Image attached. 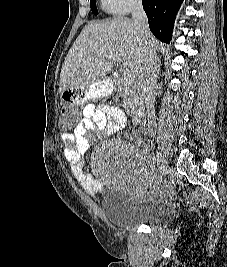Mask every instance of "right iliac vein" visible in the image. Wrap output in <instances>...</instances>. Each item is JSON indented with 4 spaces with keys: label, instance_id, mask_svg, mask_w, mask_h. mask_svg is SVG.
Listing matches in <instances>:
<instances>
[{
    "label": "right iliac vein",
    "instance_id": "1",
    "mask_svg": "<svg viewBox=\"0 0 227 267\" xmlns=\"http://www.w3.org/2000/svg\"><path fill=\"white\" fill-rule=\"evenodd\" d=\"M158 167L161 171V180L164 179L168 172V163L166 161V158L164 157L163 153L159 150L158 151Z\"/></svg>",
    "mask_w": 227,
    "mask_h": 267
}]
</instances>
